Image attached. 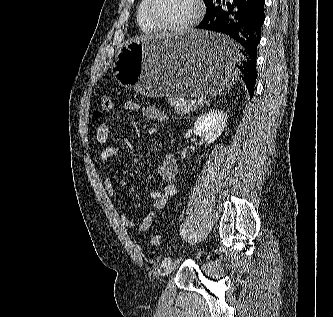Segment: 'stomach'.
<instances>
[{"label":"stomach","mask_w":333,"mask_h":317,"mask_svg":"<svg viewBox=\"0 0 333 317\" xmlns=\"http://www.w3.org/2000/svg\"><path fill=\"white\" fill-rule=\"evenodd\" d=\"M231 33L190 31L132 40L117 55L119 82L147 97L217 96L239 82L233 62H245Z\"/></svg>","instance_id":"1"}]
</instances>
